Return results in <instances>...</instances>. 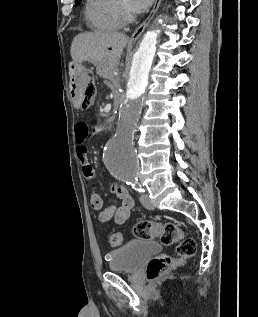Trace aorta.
Returning <instances> with one entry per match:
<instances>
[{"label":"aorta","mask_w":258,"mask_h":317,"mask_svg":"<svg viewBox=\"0 0 258 317\" xmlns=\"http://www.w3.org/2000/svg\"><path fill=\"white\" fill-rule=\"evenodd\" d=\"M158 34V30L147 32L134 54L127 91L119 110L116 134L107 143L104 153L106 167L114 177L121 180L132 181L139 172L133 139L142 109V95L148 85L149 72L156 53Z\"/></svg>","instance_id":"obj_1"}]
</instances>
